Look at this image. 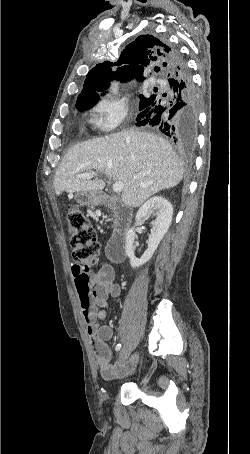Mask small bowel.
I'll use <instances>...</instances> for the list:
<instances>
[{
	"mask_svg": "<svg viewBox=\"0 0 250 454\" xmlns=\"http://www.w3.org/2000/svg\"><path fill=\"white\" fill-rule=\"evenodd\" d=\"M74 285L79 297L80 306L88 322L87 332L94 347L95 363L101 376L105 380L127 375L134 368V360L112 363V351L107 341L113 336V329L109 325H99L96 320L107 317L109 297L119 299L120 286L114 281V270L105 265L96 271L82 267L78 264L72 266ZM96 307L100 309L97 310ZM91 311L92 316H87Z\"/></svg>",
	"mask_w": 250,
	"mask_h": 454,
	"instance_id": "small-bowel-1",
	"label": "small bowel"
}]
</instances>
